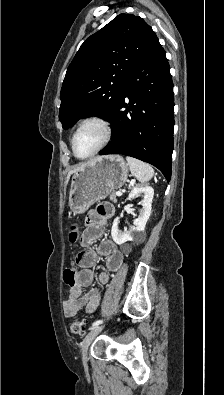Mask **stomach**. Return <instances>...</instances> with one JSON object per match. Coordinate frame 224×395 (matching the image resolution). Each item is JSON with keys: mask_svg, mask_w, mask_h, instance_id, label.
<instances>
[{"mask_svg": "<svg viewBox=\"0 0 224 395\" xmlns=\"http://www.w3.org/2000/svg\"><path fill=\"white\" fill-rule=\"evenodd\" d=\"M128 172V165L120 155L97 157L74 172L69 191L70 211L74 215L87 211L93 203L122 187Z\"/></svg>", "mask_w": 224, "mask_h": 395, "instance_id": "1", "label": "stomach"}]
</instances>
